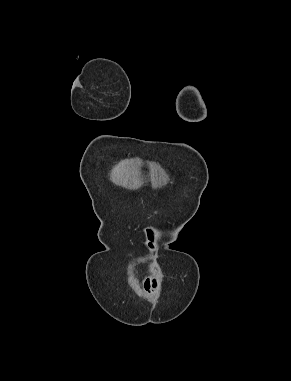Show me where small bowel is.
I'll use <instances>...</instances> for the list:
<instances>
[{"label":"small bowel","mask_w":291,"mask_h":381,"mask_svg":"<svg viewBox=\"0 0 291 381\" xmlns=\"http://www.w3.org/2000/svg\"><path fill=\"white\" fill-rule=\"evenodd\" d=\"M156 285H157V282H156V279L154 278H151V277H148L145 279V282H144V289L145 291L151 295L154 293L155 291V288H156Z\"/></svg>","instance_id":"1"}]
</instances>
